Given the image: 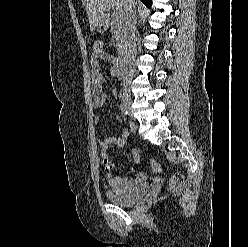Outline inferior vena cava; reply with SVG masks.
<instances>
[{"label":"inferior vena cava","mask_w":248,"mask_h":247,"mask_svg":"<svg viewBox=\"0 0 248 247\" xmlns=\"http://www.w3.org/2000/svg\"><path fill=\"white\" fill-rule=\"evenodd\" d=\"M124 20L127 28L128 49L126 59L129 62V69H131V61L136 56V5L135 0H125L124 3Z\"/></svg>","instance_id":"602c4592"}]
</instances>
